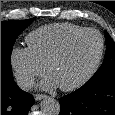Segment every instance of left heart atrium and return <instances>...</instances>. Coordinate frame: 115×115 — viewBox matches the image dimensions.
<instances>
[{"label":"left heart atrium","instance_id":"1","mask_svg":"<svg viewBox=\"0 0 115 115\" xmlns=\"http://www.w3.org/2000/svg\"><path fill=\"white\" fill-rule=\"evenodd\" d=\"M45 89H54L58 86V83L49 75L41 84Z\"/></svg>","mask_w":115,"mask_h":115}]
</instances>
